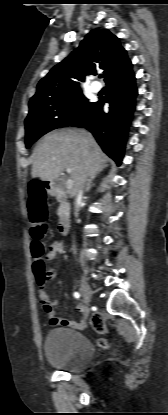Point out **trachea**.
Listing matches in <instances>:
<instances>
[{
    "label": "trachea",
    "mask_w": 168,
    "mask_h": 415,
    "mask_svg": "<svg viewBox=\"0 0 168 415\" xmlns=\"http://www.w3.org/2000/svg\"><path fill=\"white\" fill-rule=\"evenodd\" d=\"M99 77H100V78H102L103 76H102V75H100Z\"/></svg>",
    "instance_id": "trachea-1"
}]
</instances>
